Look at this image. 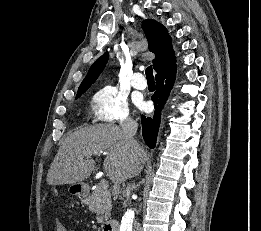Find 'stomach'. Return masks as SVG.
<instances>
[{
    "label": "stomach",
    "instance_id": "obj_1",
    "mask_svg": "<svg viewBox=\"0 0 261 231\" xmlns=\"http://www.w3.org/2000/svg\"><path fill=\"white\" fill-rule=\"evenodd\" d=\"M68 191L70 193H73V194H76V195H81L84 191V185L82 183H75V184H72Z\"/></svg>",
    "mask_w": 261,
    "mask_h": 231
}]
</instances>
